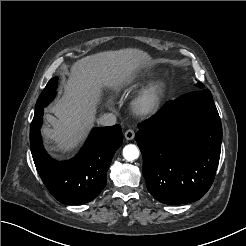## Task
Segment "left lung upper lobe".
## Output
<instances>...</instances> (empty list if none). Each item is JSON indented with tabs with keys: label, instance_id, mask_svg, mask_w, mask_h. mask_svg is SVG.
<instances>
[{
	"label": "left lung upper lobe",
	"instance_id": "obj_1",
	"mask_svg": "<svg viewBox=\"0 0 246 246\" xmlns=\"http://www.w3.org/2000/svg\"><path fill=\"white\" fill-rule=\"evenodd\" d=\"M196 86L199 87V89H204V85L200 82L197 83Z\"/></svg>",
	"mask_w": 246,
	"mask_h": 246
}]
</instances>
